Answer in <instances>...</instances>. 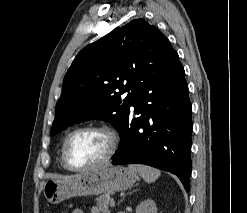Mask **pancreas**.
<instances>
[{
    "label": "pancreas",
    "mask_w": 247,
    "mask_h": 213,
    "mask_svg": "<svg viewBox=\"0 0 247 213\" xmlns=\"http://www.w3.org/2000/svg\"><path fill=\"white\" fill-rule=\"evenodd\" d=\"M111 200V194L105 193L104 195L96 198V205L103 213H109V205Z\"/></svg>",
    "instance_id": "cf45deb5"
}]
</instances>
